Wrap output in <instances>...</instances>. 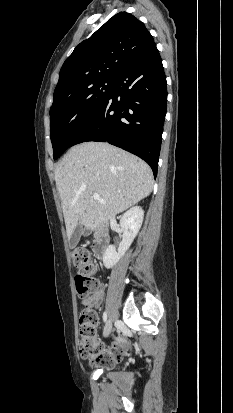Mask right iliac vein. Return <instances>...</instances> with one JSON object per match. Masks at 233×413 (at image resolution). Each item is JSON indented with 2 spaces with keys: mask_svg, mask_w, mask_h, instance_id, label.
Returning <instances> with one entry per match:
<instances>
[{
  "mask_svg": "<svg viewBox=\"0 0 233 413\" xmlns=\"http://www.w3.org/2000/svg\"><path fill=\"white\" fill-rule=\"evenodd\" d=\"M111 331H112V322H111V320H108L105 327H104L103 335L105 337H107V336L110 335Z\"/></svg>",
  "mask_w": 233,
  "mask_h": 413,
  "instance_id": "63e3f726",
  "label": "right iliac vein"
}]
</instances>
